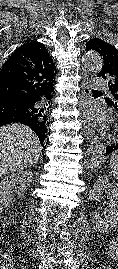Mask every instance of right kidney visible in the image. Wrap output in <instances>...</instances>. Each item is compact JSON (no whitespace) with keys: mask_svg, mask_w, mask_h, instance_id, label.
I'll use <instances>...</instances> for the list:
<instances>
[{"mask_svg":"<svg viewBox=\"0 0 118 269\" xmlns=\"http://www.w3.org/2000/svg\"><path fill=\"white\" fill-rule=\"evenodd\" d=\"M33 180L31 171H21L5 177L0 182V212L8 208L15 195H22Z\"/></svg>","mask_w":118,"mask_h":269,"instance_id":"right-kidney-1","label":"right kidney"}]
</instances>
